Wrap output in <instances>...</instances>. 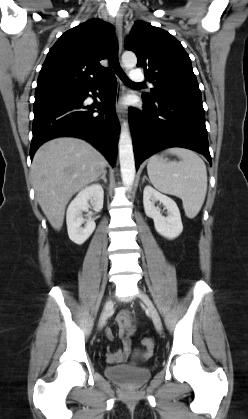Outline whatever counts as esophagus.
Wrapping results in <instances>:
<instances>
[{"mask_svg":"<svg viewBox=\"0 0 248 419\" xmlns=\"http://www.w3.org/2000/svg\"><path fill=\"white\" fill-rule=\"evenodd\" d=\"M115 26H116V34H117V44H118V54H121L122 51V33H123V17L120 12H118L114 18ZM124 94V88L120 80H118L117 85V94H116V112L119 117V119L122 121L125 119V111L124 107L122 105V97Z\"/></svg>","mask_w":248,"mask_h":419,"instance_id":"obj_1","label":"esophagus"}]
</instances>
